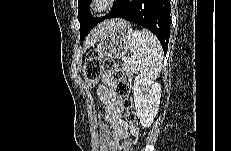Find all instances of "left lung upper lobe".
<instances>
[{
	"label": "left lung upper lobe",
	"mask_w": 231,
	"mask_h": 151,
	"mask_svg": "<svg viewBox=\"0 0 231 151\" xmlns=\"http://www.w3.org/2000/svg\"><path fill=\"white\" fill-rule=\"evenodd\" d=\"M123 0H117L114 6ZM130 1V0H129ZM91 0H78V20L80 22V38L84 39L92 28H94L101 18H94L90 14L89 5ZM113 6V7H114Z\"/></svg>",
	"instance_id": "left-lung-upper-lobe-1"
}]
</instances>
